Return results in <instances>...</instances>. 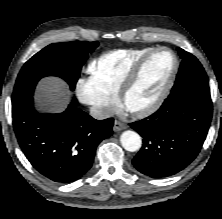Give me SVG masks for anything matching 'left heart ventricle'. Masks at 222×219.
I'll list each match as a JSON object with an SVG mask.
<instances>
[{"label": "left heart ventricle", "mask_w": 222, "mask_h": 219, "mask_svg": "<svg viewBox=\"0 0 222 219\" xmlns=\"http://www.w3.org/2000/svg\"><path fill=\"white\" fill-rule=\"evenodd\" d=\"M173 67V57L168 52L153 55L145 64L140 78L126 99L128 109L135 110L151 104L163 88Z\"/></svg>", "instance_id": "left-heart-ventricle-1"}]
</instances>
